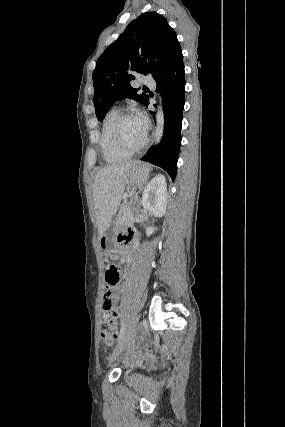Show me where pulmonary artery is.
<instances>
[{"mask_svg": "<svg viewBox=\"0 0 285 427\" xmlns=\"http://www.w3.org/2000/svg\"><path fill=\"white\" fill-rule=\"evenodd\" d=\"M142 83H143V84H145V85L152 86V85H154V84H155V81H154V79H153V78H151V77H144V78L142 79Z\"/></svg>", "mask_w": 285, "mask_h": 427, "instance_id": "e3ab8cb5", "label": "pulmonary artery"}]
</instances>
